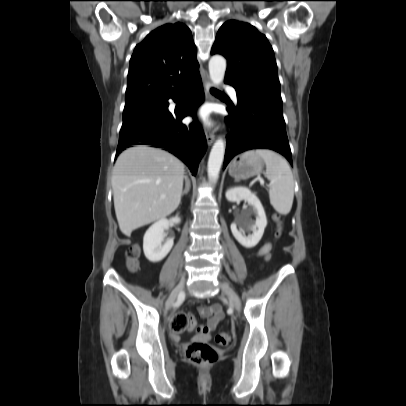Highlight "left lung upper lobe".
<instances>
[{
  "label": "left lung upper lobe",
  "instance_id": "left-lung-upper-lobe-1",
  "mask_svg": "<svg viewBox=\"0 0 406 406\" xmlns=\"http://www.w3.org/2000/svg\"><path fill=\"white\" fill-rule=\"evenodd\" d=\"M211 53L227 58L225 82L241 99H261L282 106L273 49L255 27L227 21L219 29Z\"/></svg>",
  "mask_w": 406,
  "mask_h": 406
}]
</instances>
